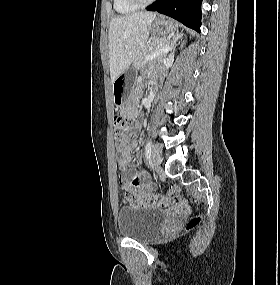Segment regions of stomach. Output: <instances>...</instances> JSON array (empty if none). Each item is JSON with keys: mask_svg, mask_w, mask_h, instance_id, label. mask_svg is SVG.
Listing matches in <instances>:
<instances>
[{"mask_svg": "<svg viewBox=\"0 0 280 285\" xmlns=\"http://www.w3.org/2000/svg\"><path fill=\"white\" fill-rule=\"evenodd\" d=\"M172 21L164 17L157 18L151 26L152 35L155 37L166 36L175 30ZM130 74L124 72L113 83V99L116 106L127 104L129 94Z\"/></svg>", "mask_w": 280, "mask_h": 285, "instance_id": "obj_1", "label": "stomach"}]
</instances>
